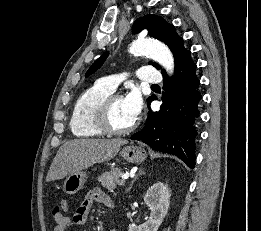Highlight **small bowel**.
<instances>
[{"label":"small bowel","mask_w":261,"mask_h":231,"mask_svg":"<svg viewBox=\"0 0 261 231\" xmlns=\"http://www.w3.org/2000/svg\"><path fill=\"white\" fill-rule=\"evenodd\" d=\"M94 204H102L111 207L113 206V201L101 190L94 189L84 198L81 204L77 207L74 215L71 217L63 213L62 207L57 206L54 208L52 213V218L55 222L53 231H68L70 229L85 225Z\"/></svg>","instance_id":"obj_1"}]
</instances>
